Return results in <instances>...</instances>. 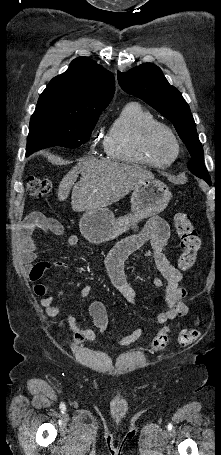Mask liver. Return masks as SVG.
I'll list each match as a JSON object with an SVG mask.
<instances>
[{
    "label": "liver",
    "mask_w": 221,
    "mask_h": 455,
    "mask_svg": "<svg viewBox=\"0 0 221 455\" xmlns=\"http://www.w3.org/2000/svg\"><path fill=\"white\" fill-rule=\"evenodd\" d=\"M81 179L77 183V177ZM154 179L151 171L137 165L89 159L79 162L61 180L58 199L64 201L72 190L71 206L75 212L109 206L124 198L146 180Z\"/></svg>",
    "instance_id": "1"
}]
</instances>
